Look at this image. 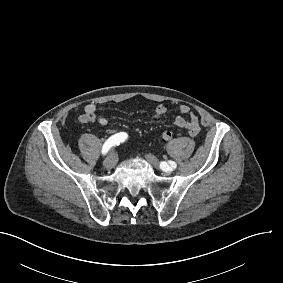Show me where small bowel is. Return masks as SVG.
<instances>
[{"mask_svg": "<svg viewBox=\"0 0 283 283\" xmlns=\"http://www.w3.org/2000/svg\"><path fill=\"white\" fill-rule=\"evenodd\" d=\"M167 106L165 104H158L152 114V120H160L167 113ZM80 123H98L102 126L109 124V119L98 113L97 106L93 103L87 104L84 108V113L78 117ZM174 125L178 128H185L188 130L190 136L196 137L200 131L199 118L197 114L191 111L190 106L182 104L179 107V115L175 117ZM109 133H114L109 130Z\"/></svg>", "mask_w": 283, "mask_h": 283, "instance_id": "c3829d8e", "label": "small bowel"}]
</instances>
